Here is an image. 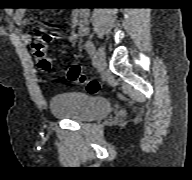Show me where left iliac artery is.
Here are the masks:
<instances>
[{
	"instance_id": "1",
	"label": "left iliac artery",
	"mask_w": 192,
	"mask_h": 180,
	"mask_svg": "<svg viewBox=\"0 0 192 180\" xmlns=\"http://www.w3.org/2000/svg\"><path fill=\"white\" fill-rule=\"evenodd\" d=\"M85 48L90 55H93L95 53V46L91 40L86 41Z\"/></svg>"
}]
</instances>
